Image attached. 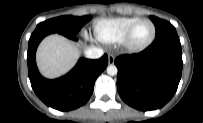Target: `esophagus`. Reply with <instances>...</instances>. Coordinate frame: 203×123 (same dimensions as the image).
<instances>
[{"mask_svg": "<svg viewBox=\"0 0 203 123\" xmlns=\"http://www.w3.org/2000/svg\"><path fill=\"white\" fill-rule=\"evenodd\" d=\"M115 61V56L113 54L108 55V63L111 65Z\"/></svg>", "mask_w": 203, "mask_h": 123, "instance_id": "esophagus-1", "label": "esophagus"}]
</instances>
